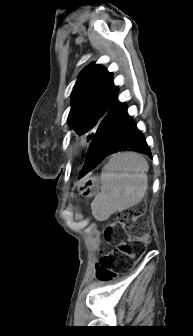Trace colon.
I'll use <instances>...</instances> for the list:
<instances>
[{
  "instance_id": "obj_1",
  "label": "colon",
  "mask_w": 193,
  "mask_h": 336,
  "mask_svg": "<svg viewBox=\"0 0 193 336\" xmlns=\"http://www.w3.org/2000/svg\"><path fill=\"white\" fill-rule=\"evenodd\" d=\"M148 235V225L136 210L120 211L115 221L104 229V239L114 244L115 249L101 255L97 265L99 277L104 280L113 277L116 257H137L148 241Z\"/></svg>"
}]
</instances>
